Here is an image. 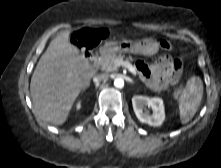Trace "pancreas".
Returning <instances> with one entry per match:
<instances>
[{
	"label": "pancreas",
	"instance_id": "cf45deb5",
	"mask_svg": "<svg viewBox=\"0 0 221 168\" xmlns=\"http://www.w3.org/2000/svg\"><path fill=\"white\" fill-rule=\"evenodd\" d=\"M124 58H125V61L127 62H132L134 60L131 56L125 57L124 55H121V54L117 55L115 53H112V54L103 55L100 58L99 65L101 69L106 72L116 71L117 66H115V62L117 60L123 61ZM174 97L176 98L178 97L177 93H174Z\"/></svg>",
	"mask_w": 221,
	"mask_h": 168
}]
</instances>
